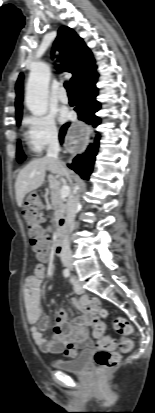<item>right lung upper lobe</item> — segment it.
<instances>
[{"label":"right lung upper lobe","mask_w":155,"mask_h":413,"mask_svg":"<svg viewBox=\"0 0 155 413\" xmlns=\"http://www.w3.org/2000/svg\"><path fill=\"white\" fill-rule=\"evenodd\" d=\"M54 47L63 55L62 69L73 74L71 82L74 87L83 79L95 74L96 65L92 53L74 30L66 26L60 27ZM16 95V120H19L22 116L23 74H20L17 80Z\"/></svg>","instance_id":"right-lung-upper-lobe-1"}]
</instances>
